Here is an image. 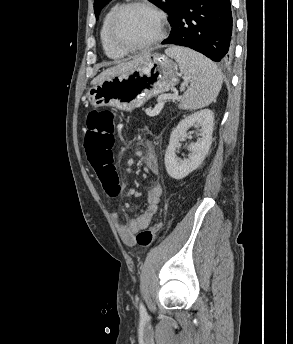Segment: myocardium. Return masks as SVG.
Masks as SVG:
<instances>
[{
  "mask_svg": "<svg viewBox=\"0 0 293 344\" xmlns=\"http://www.w3.org/2000/svg\"><path fill=\"white\" fill-rule=\"evenodd\" d=\"M134 7L144 8L156 16L157 21H158V32L152 39H150L149 41L143 44L128 45V44L123 43L118 38L117 23L121 14L125 10L134 8ZM166 34H167V18L165 14L159 8L155 7L154 5L147 2L146 0H128L127 2L121 4L114 10L110 19V23H109V38L112 45L118 50L123 51L125 53L140 52V51L150 49L153 46L160 43L165 38Z\"/></svg>",
  "mask_w": 293,
  "mask_h": 344,
  "instance_id": "f54148a6",
  "label": "myocardium"
}]
</instances>
